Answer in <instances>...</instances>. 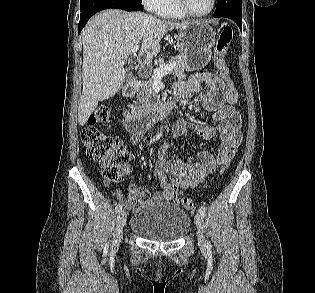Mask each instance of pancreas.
I'll list each match as a JSON object with an SVG mask.
<instances>
[{
  "label": "pancreas",
  "instance_id": "pancreas-1",
  "mask_svg": "<svg viewBox=\"0 0 315 293\" xmlns=\"http://www.w3.org/2000/svg\"><path fill=\"white\" fill-rule=\"evenodd\" d=\"M171 61L176 62V67L173 70V74L179 80L185 79L186 77V67L187 62L186 58L182 55H179L172 59ZM154 97V88H153V77H150L147 81H142L139 84L137 89V99L138 102L135 103L133 109L134 111L140 114H146L149 112L152 102L155 101Z\"/></svg>",
  "mask_w": 315,
  "mask_h": 293
}]
</instances>
